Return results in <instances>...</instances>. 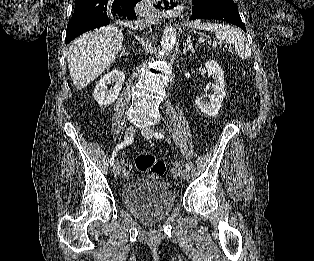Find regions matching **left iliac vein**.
<instances>
[{
  "label": "left iliac vein",
  "mask_w": 314,
  "mask_h": 261,
  "mask_svg": "<svg viewBox=\"0 0 314 261\" xmlns=\"http://www.w3.org/2000/svg\"><path fill=\"white\" fill-rule=\"evenodd\" d=\"M142 135L147 138V139H152L153 138V130L149 127H146L142 129L141 131ZM182 177L184 180L188 181L190 179V173L187 169H184L182 171Z\"/></svg>",
  "instance_id": "left-iliac-vein-1"
}]
</instances>
